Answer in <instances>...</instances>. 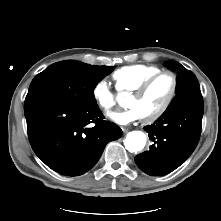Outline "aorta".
<instances>
[{
    "label": "aorta",
    "instance_id": "762f6f07",
    "mask_svg": "<svg viewBox=\"0 0 221 221\" xmlns=\"http://www.w3.org/2000/svg\"><path fill=\"white\" fill-rule=\"evenodd\" d=\"M125 93H120L117 100L121 106L125 103ZM125 147L130 152H137L144 148L146 144V135L142 131L129 132L125 139Z\"/></svg>",
    "mask_w": 221,
    "mask_h": 221
}]
</instances>
